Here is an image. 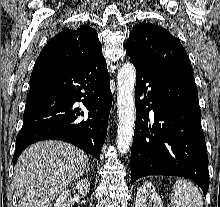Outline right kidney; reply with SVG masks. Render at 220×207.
<instances>
[{
    "label": "right kidney",
    "mask_w": 220,
    "mask_h": 207,
    "mask_svg": "<svg viewBox=\"0 0 220 207\" xmlns=\"http://www.w3.org/2000/svg\"><path fill=\"white\" fill-rule=\"evenodd\" d=\"M75 189L79 191L82 196H85L90 189V182L88 179L79 180L75 184ZM73 202L71 198V192L68 189L63 190L59 198H57L54 207H72Z\"/></svg>",
    "instance_id": "obj_1"
}]
</instances>
